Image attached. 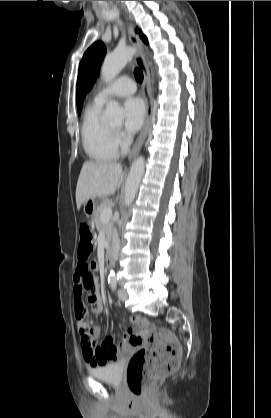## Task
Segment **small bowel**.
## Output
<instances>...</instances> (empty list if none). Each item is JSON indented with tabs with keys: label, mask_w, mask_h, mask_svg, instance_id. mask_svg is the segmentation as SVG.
I'll return each instance as SVG.
<instances>
[{
	"label": "small bowel",
	"mask_w": 271,
	"mask_h": 418,
	"mask_svg": "<svg viewBox=\"0 0 271 418\" xmlns=\"http://www.w3.org/2000/svg\"><path fill=\"white\" fill-rule=\"evenodd\" d=\"M97 271L98 264L91 262L90 258L76 259V273L73 279L76 321L81 335L83 358L92 367L116 361L141 342L135 330L130 328L124 334L119 345L115 344L113 337L106 338L100 345L97 344V340L101 335V327L98 325L94 326V321L89 319L83 300L84 293H87L88 303L92 311L96 314L103 311L104 303L98 290ZM81 311H84L86 314H79ZM132 322L137 323L133 320Z\"/></svg>",
	"instance_id": "small-bowel-1"
}]
</instances>
